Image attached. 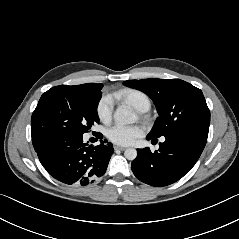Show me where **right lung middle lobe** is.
Segmentation results:
<instances>
[{
	"instance_id": "1",
	"label": "right lung middle lobe",
	"mask_w": 239,
	"mask_h": 239,
	"mask_svg": "<svg viewBox=\"0 0 239 239\" xmlns=\"http://www.w3.org/2000/svg\"><path fill=\"white\" fill-rule=\"evenodd\" d=\"M101 96V88L80 85H60L45 92L31 118L34 149L58 134L88 132L99 122L97 106Z\"/></svg>"
}]
</instances>
